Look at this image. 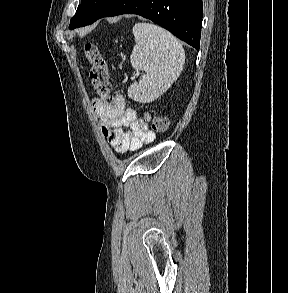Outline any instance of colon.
Returning a JSON list of instances; mask_svg holds the SVG:
<instances>
[{"mask_svg": "<svg viewBox=\"0 0 288 293\" xmlns=\"http://www.w3.org/2000/svg\"><path fill=\"white\" fill-rule=\"evenodd\" d=\"M85 56L87 61L91 65L90 78L97 95L103 100V102L109 104L112 102L111 85L109 82L108 65L105 59L102 57L99 49L96 45L87 43L85 45ZM169 127V120L157 115L152 120V128L159 134L167 132Z\"/></svg>", "mask_w": 288, "mask_h": 293, "instance_id": "5ec220e1", "label": "colon"}]
</instances>
